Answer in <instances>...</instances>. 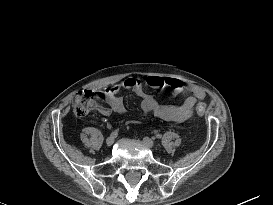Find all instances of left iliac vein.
Listing matches in <instances>:
<instances>
[{
  "label": "left iliac vein",
  "mask_w": 273,
  "mask_h": 205,
  "mask_svg": "<svg viewBox=\"0 0 273 205\" xmlns=\"http://www.w3.org/2000/svg\"><path fill=\"white\" fill-rule=\"evenodd\" d=\"M143 142L145 143V145H147L149 148H153L154 147V142L151 138L149 137H144L143 138Z\"/></svg>",
  "instance_id": "1"
}]
</instances>
